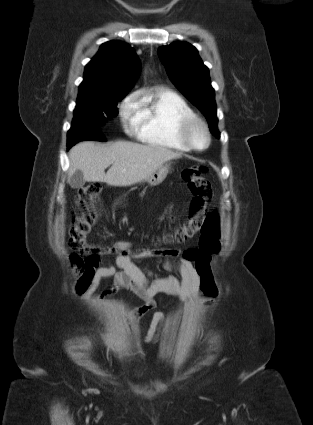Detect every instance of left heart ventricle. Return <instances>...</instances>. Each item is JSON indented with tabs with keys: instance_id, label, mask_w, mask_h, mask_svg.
Wrapping results in <instances>:
<instances>
[{
	"instance_id": "obj_1",
	"label": "left heart ventricle",
	"mask_w": 313,
	"mask_h": 425,
	"mask_svg": "<svg viewBox=\"0 0 313 425\" xmlns=\"http://www.w3.org/2000/svg\"><path fill=\"white\" fill-rule=\"evenodd\" d=\"M192 138L198 147H203L206 144V137L202 129L196 128L193 131Z\"/></svg>"
}]
</instances>
